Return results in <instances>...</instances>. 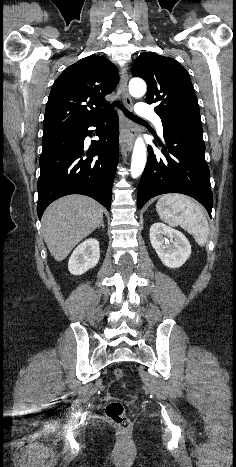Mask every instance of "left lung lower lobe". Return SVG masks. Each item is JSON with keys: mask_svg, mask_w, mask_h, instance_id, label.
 Instances as JSON below:
<instances>
[{"mask_svg": "<svg viewBox=\"0 0 236 467\" xmlns=\"http://www.w3.org/2000/svg\"><path fill=\"white\" fill-rule=\"evenodd\" d=\"M162 124L166 146L158 142L164 148L161 154L148 146V160L138 187V208L157 195L181 193L199 201L211 216L213 196L201 123Z\"/></svg>", "mask_w": 236, "mask_h": 467, "instance_id": "obj_1", "label": "left lung lower lobe"}]
</instances>
